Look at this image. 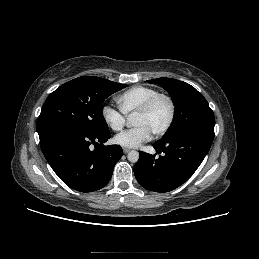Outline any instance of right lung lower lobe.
I'll return each instance as SVG.
<instances>
[{"label": "right lung lower lobe", "mask_w": 259, "mask_h": 259, "mask_svg": "<svg viewBox=\"0 0 259 259\" xmlns=\"http://www.w3.org/2000/svg\"><path fill=\"white\" fill-rule=\"evenodd\" d=\"M110 137V132L89 133L70 127L39 134L42 152L54 172L80 192L99 190L111 179L123 152L119 145H103Z\"/></svg>", "instance_id": "98d812e1"}]
</instances>
